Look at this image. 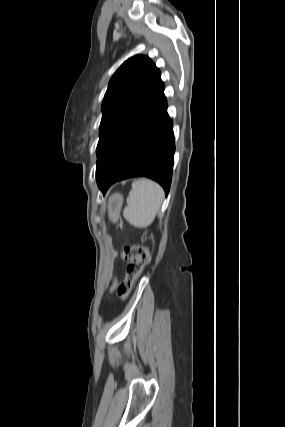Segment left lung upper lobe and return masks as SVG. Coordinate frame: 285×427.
I'll return each instance as SVG.
<instances>
[{"label":"left lung upper lobe","instance_id":"1","mask_svg":"<svg viewBox=\"0 0 285 427\" xmlns=\"http://www.w3.org/2000/svg\"><path fill=\"white\" fill-rule=\"evenodd\" d=\"M162 86L160 71L147 56H133L118 68L102 103L98 159L115 145Z\"/></svg>","mask_w":285,"mask_h":427}]
</instances>
